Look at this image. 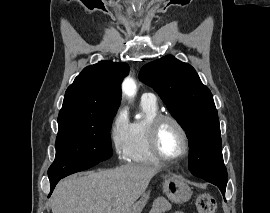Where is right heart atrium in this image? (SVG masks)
<instances>
[{
    "mask_svg": "<svg viewBox=\"0 0 270 213\" xmlns=\"http://www.w3.org/2000/svg\"><path fill=\"white\" fill-rule=\"evenodd\" d=\"M129 120L124 109H119L115 114L110 131V143L119 159L126 158V150L129 139Z\"/></svg>",
    "mask_w": 270,
    "mask_h": 213,
    "instance_id": "obj_1",
    "label": "right heart atrium"
}]
</instances>
